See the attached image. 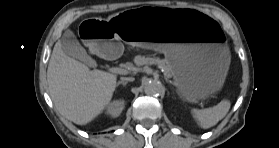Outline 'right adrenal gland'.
<instances>
[{
	"mask_svg": "<svg viewBox=\"0 0 279 148\" xmlns=\"http://www.w3.org/2000/svg\"><path fill=\"white\" fill-rule=\"evenodd\" d=\"M128 82L127 81H119L116 86L118 87L120 84L126 85Z\"/></svg>",
	"mask_w": 279,
	"mask_h": 148,
	"instance_id": "right-adrenal-gland-1",
	"label": "right adrenal gland"
}]
</instances>
